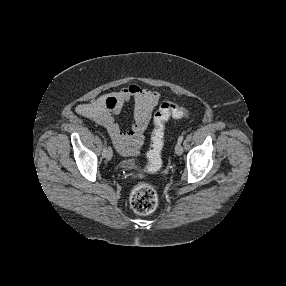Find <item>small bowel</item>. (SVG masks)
<instances>
[{
    "mask_svg": "<svg viewBox=\"0 0 286 286\" xmlns=\"http://www.w3.org/2000/svg\"><path fill=\"white\" fill-rule=\"evenodd\" d=\"M160 99V92L131 83L102 95L92 103L79 105L77 112L104 127L118 153L134 156L143 143V133ZM130 103L133 104V123L125 131L121 128L118 117Z\"/></svg>",
    "mask_w": 286,
    "mask_h": 286,
    "instance_id": "c3829d8e",
    "label": "small bowel"
}]
</instances>
